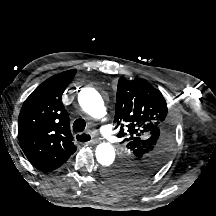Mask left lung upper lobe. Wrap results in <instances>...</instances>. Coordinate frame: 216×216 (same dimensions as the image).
<instances>
[{
    "mask_svg": "<svg viewBox=\"0 0 216 216\" xmlns=\"http://www.w3.org/2000/svg\"><path fill=\"white\" fill-rule=\"evenodd\" d=\"M114 121L124 149L103 175L113 186L130 188L154 176L174 142L172 109L155 87L135 78L118 81Z\"/></svg>",
    "mask_w": 216,
    "mask_h": 216,
    "instance_id": "left-lung-upper-lobe-1",
    "label": "left lung upper lobe"
}]
</instances>
